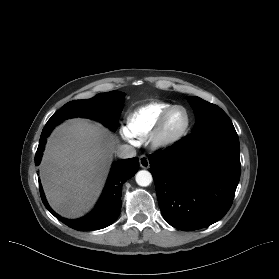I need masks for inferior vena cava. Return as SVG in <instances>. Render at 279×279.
Here are the masks:
<instances>
[{
  "mask_svg": "<svg viewBox=\"0 0 279 279\" xmlns=\"http://www.w3.org/2000/svg\"><path fill=\"white\" fill-rule=\"evenodd\" d=\"M116 155L122 159L132 158L136 156V150L134 147L124 144L118 146L116 150Z\"/></svg>",
  "mask_w": 279,
  "mask_h": 279,
  "instance_id": "602c4592",
  "label": "inferior vena cava"
}]
</instances>
